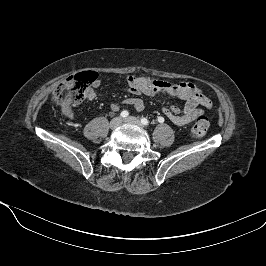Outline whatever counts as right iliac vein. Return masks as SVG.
Wrapping results in <instances>:
<instances>
[{"label":"right iliac vein","instance_id":"obj_1","mask_svg":"<svg viewBox=\"0 0 266 266\" xmlns=\"http://www.w3.org/2000/svg\"><path fill=\"white\" fill-rule=\"evenodd\" d=\"M122 123L121 117H115L111 120L109 127L111 129H116Z\"/></svg>","mask_w":266,"mask_h":266}]
</instances>
